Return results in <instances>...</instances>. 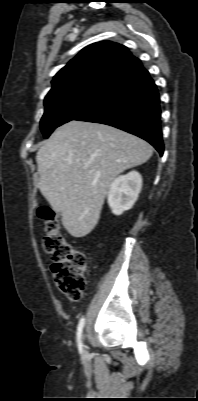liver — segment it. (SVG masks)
<instances>
[{"mask_svg":"<svg viewBox=\"0 0 198 401\" xmlns=\"http://www.w3.org/2000/svg\"><path fill=\"white\" fill-rule=\"evenodd\" d=\"M152 153V146L135 135L72 120L58 127L38 150V187L61 213L68 233L83 237L97 225L115 177L145 163Z\"/></svg>","mask_w":198,"mask_h":401,"instance_id":"6515ba94","label":"liver"}]
</instances>
